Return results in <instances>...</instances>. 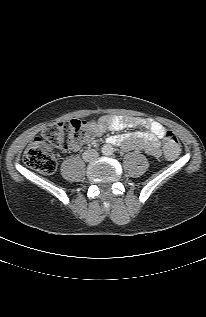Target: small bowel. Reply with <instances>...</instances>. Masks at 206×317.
I'll return each instance as SVG.
<instances>
[{
    "mask_svg": "<svg viewBox=\"0 0 206 317\" xmlns=\"http://www.w3.org/2000/svg\"><path fill=\"white\" fill-rule=\"evenodd\" d=\"M138 126L146 130L113 135L108 138V142L120 145L126 150H144L151 156H159L161 154L160 140L164 138L167 129L157 121L133 116H105L92 123V127L98 134L106 130L120 131ZM79 146L80 144L75 145L72 150H78Z\"/></svg>",
    "mask_w": 206,
    "mask_h": 317,
    "instance_id": "small-bowel-1",
    "label": "small bowel"
}]
</instances>
